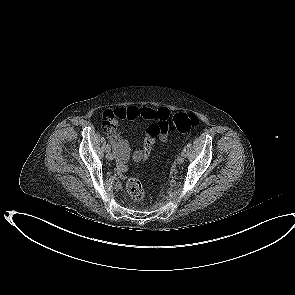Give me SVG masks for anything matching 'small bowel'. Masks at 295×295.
I'll list each match as a JSON object with an SVG mask.
<instances>
[{"label":"small bowel","instance_id":"obj_1","mask_svg":"<svg viewBox=\"0 0 295 295\" xmlns=\"http://www.w3.org/2000/svg\"><path fill=\"white\" fill-rule=\"evenodd\" d=\"M114 113V117L108 121V114ZM170 114L166 108H158L157 110L145 106H131L115 110H106L102 113L101 119L105 124V131L110 138L111 144L117 154V170L123 175L127 171L126 162L129 158L130 149L127 141L121 137L120 131L117 129V119H144L162 121ZM168 133L160 135V139L165 142L168 139ZM155 138L149 134L144 139L142 149L135 150L132 158L136 162H141L150 156V152L155 144Z\"/></svg>","mask_w":295,"mask_h":295}]
</instances>
